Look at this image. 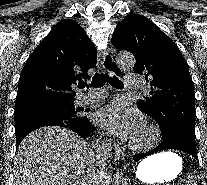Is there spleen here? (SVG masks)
<instances>
[{
	"instance_id": "1",
	"label": "spleen",
	"mask_w": 207,
	"mask_h": 185,
	"mask_svg": "<svg viewBox=\"0 0 207 185\" xmlns=\"http://www.w3.org/2000/svg\"><path fill=\"white\" fill-rule=\"evenodd\" d=\"M182 185H198L200 174H193V170H188L187 178H180Z\"/></svg>"
}]
</instances>
